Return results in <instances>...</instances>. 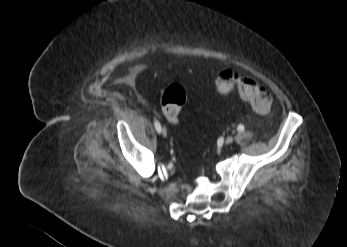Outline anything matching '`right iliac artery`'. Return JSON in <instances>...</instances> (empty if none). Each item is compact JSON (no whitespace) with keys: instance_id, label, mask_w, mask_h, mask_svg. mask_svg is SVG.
I'll return each instance as SVG.
<instances>
[{"instance_id":"1","label":"right iliac artery","mask_w":347,"mask_h":247,"mask_svg":"<svg viewBox=\"0 0 347 247\" xmlns=\"http://www.w3.org/2000/svg\"><path fill=\"white\" fill-rule=\"evenodd\" d=\"M154 126H155L156 131H157L158 133H160V132H161V125H160V123H159L158 120H155V121H154Z\"/></svg>"}]
</instances>
